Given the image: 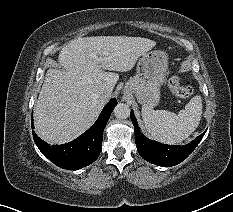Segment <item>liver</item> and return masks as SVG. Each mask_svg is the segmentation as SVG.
I'll return each mask as SVG.
<instances>
[{
	"mask_svg": "<svg viewBox=\"0 0 233 212\" xmlns=\"http://www.w3.org/2000/svg\"><path fill=\"white\" fill-rule=\"evenodd\" d=\"M156 45L142 37L95 36L71 40L59 54V67L48 69L35 107L38 136L49 144L72 141L95 121L119 75ZM108 70V71H106ZM113 71V72H112Z\"/></svg>",
	"mask_w": 233,
	"mask_h": 212,
	"instance_id": "obj_1",
	"label": "liver"
}]
</instances>
